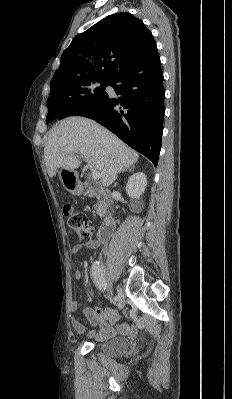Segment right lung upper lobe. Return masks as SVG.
I'll return each mask as SVG.
<instances>
[{"label":"right lung upper lobe","instance_id":"obj_1","mask_svg":"<svg viewBox=\"0 0 232 399\" xmlns=\"http://www.w3.org/2000/svg\"><path fill=\"white\" fill-rule=\"evenodd\" d=\"M157 50L151 32L130 13H117L74 37L51 81V94L81 83L110 79Z\"/></svg>","mask_w":232,"mask_h":399}]
</instances>
